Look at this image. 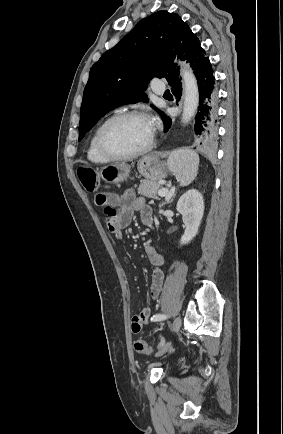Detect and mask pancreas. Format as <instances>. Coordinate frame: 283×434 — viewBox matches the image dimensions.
Here are the masks:
<instances>
[{
    "instance_id": "pancreas-1",
    "label": "pancreas",
    "mask_w": 283,
    "mask_h": 434,
    "mask_svg": "<svg viewBox=\"0 0 283 434\" xmlns=\"http://www.w3.org/2000/svg\"><path fill=\"white\" fill-rule=\"evenodd\" d=\"M161 188L158 182L141 180L138 186V194L149 198H157V194Z\"/></svg>"
}]
</instances>
